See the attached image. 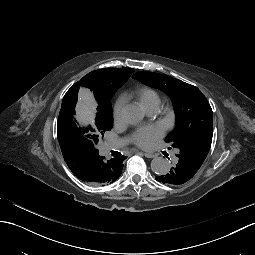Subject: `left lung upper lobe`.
I'll use <instances>...</instances> for the list:
<instances>
[{
  "instance_id": "left-lung-upper-lobe-1",
  "label": "left lung upper lobe",
  "mask_w": 255,
  "mask_h": 255,
  "mask_svg": "<svg viewBox=\"0 0 255 255\" xmlns=\"http://www.w3.org/2000/svg\"><path fill=\"white\" fill-rule=\"evenodd\" d=\"M132 77L162 90L172 99L176 127L165 141L179 150L178 163L194 176L207 157L212 142L213 114L206 97L197 87L167 75L139 71Z\"/></svg>"
}]
</instances>
